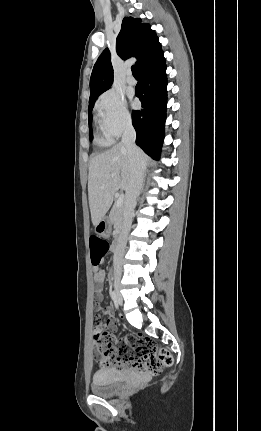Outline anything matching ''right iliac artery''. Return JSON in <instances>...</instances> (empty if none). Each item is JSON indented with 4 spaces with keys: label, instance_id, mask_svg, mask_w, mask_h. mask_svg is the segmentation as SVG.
I'll list each match as a JSON object with an SVG mask.
<instances>
[{
    "label": "right iliac artery",
    "instance_id": "1",
    "mask_svg": "<svg viewBox=\"0 0 261 431\" xmlns=\"http://www.w3.org/2000/svg\"><path fill=\"white\" fill-rule=\"evenodd\" d=\"M110 295H111L112 300H113L114 302H116V294H115V291H111V292H110Z\"/></svg>",
    "mask_w": 261,
    "mask_h": 431
}]
</instances>
